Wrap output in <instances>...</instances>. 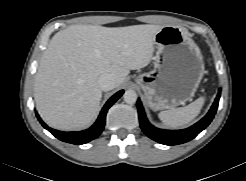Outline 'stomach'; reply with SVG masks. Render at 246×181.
<instances>
[{
  "instance_id": "1",
  "label": "stomach",
  "mask_w": 246,
  "mask_h": 181,
  "mask_svg": "<svg viewBox=\"0 0 246 181\" xmlns=\"http://www.w3.org/2000/svg\"><path fill=\"white\" fill-rule=\"evenodd\" d=\"M154 70L140 74L136 83L153 110L172 109L190 100L205 73L203 55L188 31L165 26L154 38Z\"/></svg>"
}]
</instances>
